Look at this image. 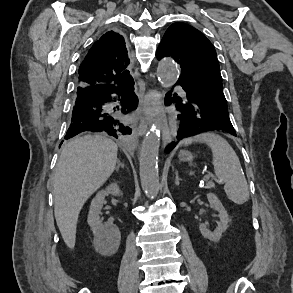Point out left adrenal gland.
<instances>
[{
  "label": "left adrenal gland",
  "mask_w": 293,
  "mask_h": 293,
  "mask_svg": "<svg viewBox=\"0 0 293 293\" xmlns=\"http://www.w3.org/2000/svg\"><path fill=\"white\" fill-rule=\"evenodd\" d=\"M175 184H176V186H178L179 185V183H180V178H179V175H178V171H175Z\"/></svg>",
  "instance_id": "obj_1"
}]
</instances>
